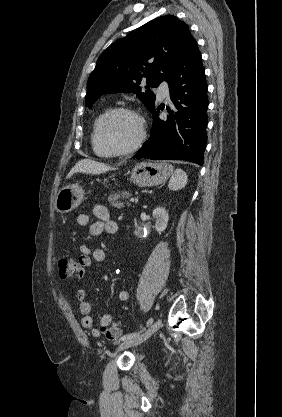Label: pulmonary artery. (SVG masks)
<instances>
[{"mask_svg": "<svg viewBox=\"0 0 282 417\" xmlns=\"http://www.w3.org/2000/svg\"><path fill=\"white\" fill-rule=\"evenodd\" d=\"M159 95L161 98L168 97V86L166 83H162L159 87Z\"/></svg>", "mask_w": 282, "mask_h": 417, "instance_id": "obj_1", "label": "pulmonary artery"}]
</instances>
